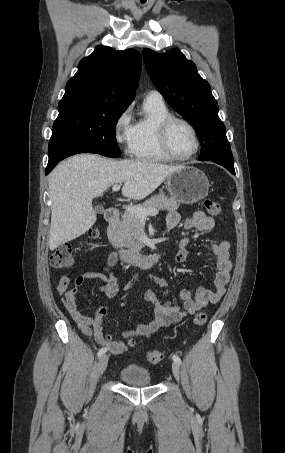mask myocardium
I'll use <instances>...</instances> for the list:
<instances>
[{
  "instance_id": "obj_1",
  "label": "myocardium",
  "mask_w": 285,
  "mask_h": 453,
  "mask_svg": "<svg viewBox=\"0 0 285 453\" xmlns=\"http://www.w3.org/2000/svg\"><path fill=\"white\" fill-rule=\"evenodd\" d=\"M176 123H182L186 125L192 132L194 139H195V148L192 153L188 155H179L177 154L171 147L170 144V132L172 127ZM158 138H159V143L162 148V150L172 159L175 160H187L195 156L200 148V138L198 135V132L194 125L189 122L188 120L181 118V117H176V116H170L164 119L158 129Z\"/></svg>"
}]
</instances>
